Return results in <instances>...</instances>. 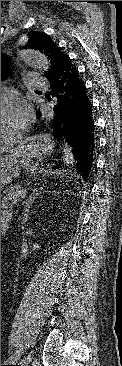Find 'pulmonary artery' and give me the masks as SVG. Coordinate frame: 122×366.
<instances>
[{
	"label": "pulmonary artery",
	"mask_w": 122,
	"mask_h": 366,
	"mask_svg": "<svg viewBox=\"0 0 122 366\" xmlns=\"http://www.w3.org/2000/svg\"><path fill=\"white\" fill-rule=\"evenodd\" d=\"M25 78L33 88H44L46 86L45 80L40 78V76L34 72L26 73Z\"/></svg>",
	"instance_id": "e3ab8cb5"
}]
</instances>
